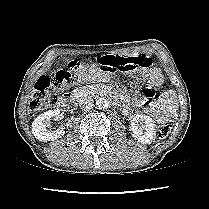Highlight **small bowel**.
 Wrapping results in <instances>:
<instances>
[{
	"label": "small bowel",
	"instance_id": "small-bowel-1",
	"mask_svg": "<svg viewBox=\"0 0 209 209\" xmlns=\"http://www.w3.org/2000/svg\"><path fill=\"white\" fill-rule=\"evenodd\" d=\"M137 74L147 82V86L141 90L143 98L138 102V106L145 113L152 115L161 124L176 113L177 102L175 94L171 90L164 91L160 95L155 94L154 90L162 87L164 83V77L160 69L140 66ZM91 78L95 81H106L108 72L99 70L92 76L84 73L81 80L85 82ZM116 97L125 103L123 96L117 94ZM125 108L129 110L128 106Z\"/></svg>",
	"mask_w": 209,
	"mask_h": 209
}]
</instances>
